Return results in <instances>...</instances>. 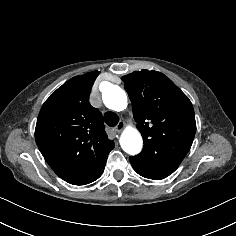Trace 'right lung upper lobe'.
I'll return each mask as SVG.
<instances>
[{
    "instance_id": "cb5924a9",
    "label": "right lung upper lobe",
    "mask_w": 236,
    "mask_h": 236,
    "mask_svg": "<svg viewBox=\"0 0 236 236\" xmlns=\"http://www.w3.org/2000/svg\"><path fill=\"white\" fill-rule=\"evenodd\" d=\"M99 73L89 72L65 82L38 115L36 143L59 177L95 170L114 148L104 131L102 114L89 103Z\"/></svg>"
}]
</instances>
